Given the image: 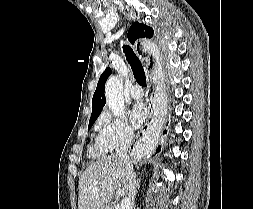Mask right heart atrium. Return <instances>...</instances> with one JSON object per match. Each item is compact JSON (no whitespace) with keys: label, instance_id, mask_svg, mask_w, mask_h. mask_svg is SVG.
<instances>
[{"label":"right heart atrium","instance_id":"d8ad5b80","mask_svg":"<svg viewBox=\"0 0 253 209\" xmlns=\"http://www.w3.org/2000/svg\"><path fill=\"white\" fill-rule=\"evenodd\" d=\"M97 142L110 151L122 144H129L134 138V132L124 117L113 116L103 112L97 124Z\"/></svg>","mask_w":253,"mask_h":209}]
</instances>
